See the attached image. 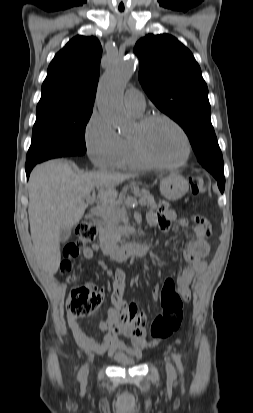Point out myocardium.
<instances>
[{"mask_svg": "<svg viewBox=\"0 0 253 413\" xmlns=\"http://www.w3.org/2000/svg\"><path fill=\"white\" fill-rule=\"evenodd\" d=\"M157 121H166L169 124H171L182 136L183 140H184V144H185V153L184 156L182 157V159H180L178 162L175 163H162L159 161H156L155 159H153L149 153L147 152L144 142H143V138H142V134L143 132H145L153 123L157 122ZM138 128L140 131V134L138 135H134L132 137L135 149L137 154L139 155V157L141 158V160L148 166L153 167V168H157V169H165V170H169V169H176L179 168L181 166H183L184 164L187 163V161L190 158L191 155V141L190 138L188 136V134L186 133V131L184 130V128L173 118H171L168 115L165 114H152V115H148L143 117L142 119H140L139 123H138Z\"/></svg>", "mask_w": 253, "mask_h": 413, "instance_id": "myocardium-1", "label": "myocardium"}]
</instances>
